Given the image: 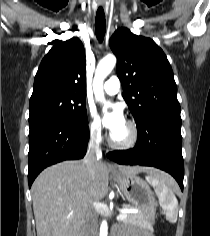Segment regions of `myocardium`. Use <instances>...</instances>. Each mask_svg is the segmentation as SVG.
Here are the masks:
<instances>
[{
    "instance_id": "f54148a6",
    "label": "myocardium",
    "mask_w": 210,
    "mask_h": 236,
    "mask_svg": "<svg viewBox=\"0 0 210 236\" xmlns=\"http://www.w3.org/2000/svg\"><path fill=\"white\" fill-rule=\"evenodd\" d=\"M127 126L130 130V135L126 141L117 142L114 140L112 133L109 136V144L111 147L119 150H126L134 147L139 138V130L136 122L132 119H127L126 122Z\"/></svg>"
}]
</instances>
